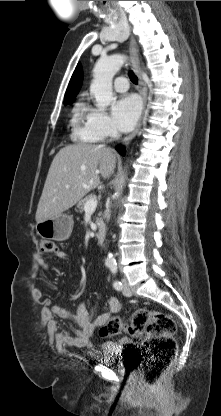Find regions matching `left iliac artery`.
I'll use <instances>...</instances> for the list:
<instances>
[{
	"label": "left iliac artery",
	"mask_w": 221,
	"mask_h": 416,
	"mask_svg": "<svg viewBox=\"0 0 221 416\" xmlns=\"http://www.w3.org/2000/svg\"><path fill=\"white\" fill-rule=\"evenodd\" d=\"M109 268H110V270L113 274L117 273V265L116 264L109 265ZM113 287L116 290H121L122 289V283L119 280H115L114 283H113Z\"/></svg>",
	"instance_id": "left-iliac-artery-1"
}]
</instances>
